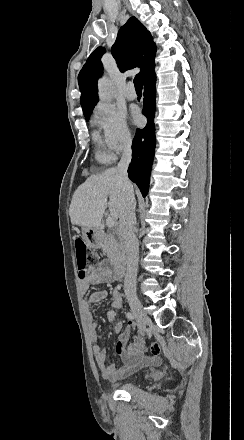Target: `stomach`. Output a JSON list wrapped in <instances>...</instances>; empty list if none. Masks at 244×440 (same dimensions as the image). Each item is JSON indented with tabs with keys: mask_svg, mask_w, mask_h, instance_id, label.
<instances>
[{
	"mask_svg": "<svg viewBox=\"0 0 244 440\" xmlns=\"http://www.w3.org/2000/svg\"><path fill=\"white\" fill-rule=\"evenodd\" d=\"M82 238L89 248H99L101 244V232L99 228H81Z\"/></svg>",
	"mask_w": 244,
	"mask_h": 440,
	"instance_id": "1",
	"label": "stomach"
}]
</instances>
